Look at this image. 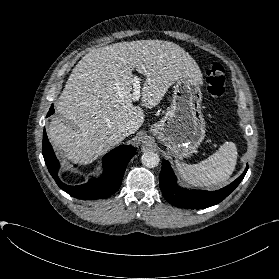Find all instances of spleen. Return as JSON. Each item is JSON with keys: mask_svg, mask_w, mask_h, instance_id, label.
<instances>
[{"mask_svg": "<svg viewBox=\"0 0 279 279\" xmlns=\"http://www.w3.org/2000/svg\"><path fill=\"white\" fill-rule=\"evenodd\" d=\"M182 179L194 187H209L225 182L232 175L237 163V148L233 142H225L207 159L188 165L175 161Z\"/></svg>", "mask_w": 279, "mask_h": 279, "instance_id": "spleen-1", "label": "spleen"}]
</instances>
